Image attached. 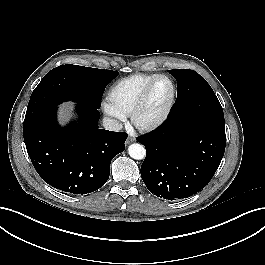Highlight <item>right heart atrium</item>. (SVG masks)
Masks as SVG:
<instances>
[{"instance_id":"obj_1","label":"right heart atrium","mask_w":265,"mask_h":265,"mask_svg":"<svg viewBox=\"0 0 265 265\" xmlns=\"http://www.w3.org/2000/svg\"><path fill=\"white\" fill-rule=\"evenodd\" d=\"M105 112L110 115L113 116L115 118L121 119L122 116L118 115L117 113L113 112L112 110H110L107 106L105 107Z\"/></svg>"}]
</instances>
